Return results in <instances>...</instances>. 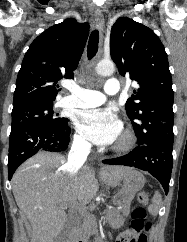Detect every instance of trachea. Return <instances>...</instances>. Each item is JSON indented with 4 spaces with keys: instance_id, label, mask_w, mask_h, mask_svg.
<instances>
[{
    "instance_id": "3493384b",
    "label": "trachea",
    "mask_w": 187,
    "mask_h": 242,
    "mask_svg": "<svg viewBox=\"0 0 187 242\" xmlns=\"http://www.w3.org/2000/svg\"><path fill=\"white\" fill-rule=\"evenodd\" d=\"M98 42H99V32L94 30L89 38L87 46V56L89 59H92L98 51Z\"/></svg>"
}]
</instances>
